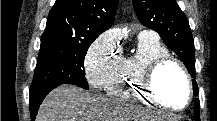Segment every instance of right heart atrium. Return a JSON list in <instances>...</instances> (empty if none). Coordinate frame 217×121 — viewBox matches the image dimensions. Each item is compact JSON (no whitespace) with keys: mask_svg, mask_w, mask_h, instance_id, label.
Masks as SVG:
<instances>
[{"mask_svg":"<svg viewBox=\"0 0 217 121\" xmlns=\"http://www.w3.org/2000/svg\"><path fill=\"white\" fill-rule=\"evenodd\" d=\"M121 49L110 31L103 32L90 46L85 57V74L94 88H104L121 62Z\"/></svg>","mask_w":217,"mask_h":121,"instance_id":"right-heart-atrium-1","label":"right heart atrium"}]
</instances>
